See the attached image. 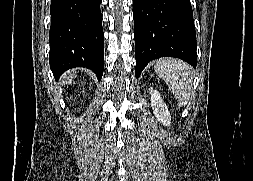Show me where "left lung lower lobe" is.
Segmentation results:
<instances>
[{
  "mask_svg": "<svg viewBox=\"0 0 253 181\" xmlns=\"http://www.w3.org/2000/svg\"><path fill=\"white\" fill-rule=\"evenodd\" d=\"M135 76L160 57L196 68V33L190 0H133Z\"/></svg>",
  "mask_w": 253,
  "mask_h": 181,
  "instance_id": "left-lung-lower-lobe-1",
  "label": "left lung lower lobe"
}]
</instances>
